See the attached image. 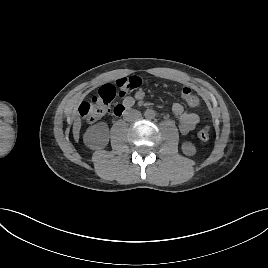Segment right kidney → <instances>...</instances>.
Listing matches in <instances>:
<instances>
[{
  "label": "right kidney",
  "instance_id": "1",
  "mask_svg": "<svg viewBox=\"0 0 268 268\" xmlns=\"http://www.w3.org/2000/svg\"><path fill=\"white\" fill-rule=\"evenodd\" d=\"M84 143L91 149L104 148L109 142V129L106 123L91 126L84 134Z\"/></svg>",
  "mask_w": 268,
  "mask_h": 268
}]
</instances>
